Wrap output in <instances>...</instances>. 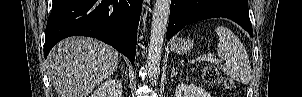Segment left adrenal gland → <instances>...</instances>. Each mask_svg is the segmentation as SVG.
Wrapping results in <instances>:
<instances>
[{
    "mask_svg": "<svg viewBox=\"0 0 302 97\" xmlns=\"http://www.w3.org/2000/svg\"><path fill=\"white\" fill-rule=\"evenodd\" d=\"M179 73H178V71H175V68L174 67H172V73H171V76L172 77H174V76H176V75H178Z\"/></svg>",
    "mask_w": 302,
    "mask_h": 97,
    "instance_id": "obj_1",
    "label": "left adrenal gland"
}]
</instances>
